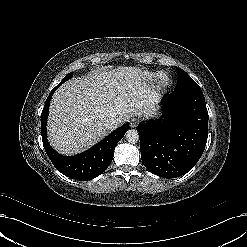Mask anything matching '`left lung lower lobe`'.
<instances>
[{"instance_id": "left-lung-lower-lobe-1", "label": "left lung lower lobe", "mask_w": 247, "mask_h": 247, "mask_svg": "<svg viewBox=\"0 0 247 247\" xmlns=\"http://www.w3.org/2000/svg\"><path fill=\"white\" fill-rule=\"evenodd\" d=\"M166 118L137 126L141 159L153 174L176 178L189 172L202 156L208 137V112L200 87L164 96Z\"/></svg>"}]
</instances>
